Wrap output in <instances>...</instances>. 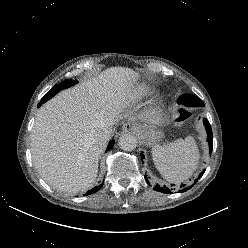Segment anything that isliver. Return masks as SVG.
I'll return each instance as SVG.
<instances>
[{"label": "liver", "instance_id": "obj_1", "mask_svg": "<svg viewBox=\"0 0 248 248\" xmlns=\"http://www.w3.org/2000/svg\"><path fill=\"white\" fill-rule=\"evenodd\" d=\"M137 77L130 68L111 67L40 108L31 132L32 159L52 187L78 193L94 185L106 145L96 143L94 133L114 125L132 99Z\"/></svg>", "mask_w": 248, "mask_h": 248}]
</instances>
